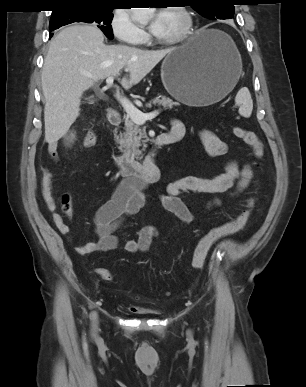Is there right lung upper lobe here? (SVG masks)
I'll return each instance as SVG.
<instances>
[{
    "label": "right lung upper lobe",
    "instance_id": "right-lung-upper-lobe-1",
    "mask_svg": "<svg viewBox=\"0 0 306 387\" xmlns=\"http://www.w3.org/2000/svg\"><path fill=\"white\" fill-rule=\"evenodd\" d=\"M115 0H56V9L52 13H57L65 8L76 6H104L112 7Z\"/></svg>",
    "mask_w": 306,
    "mask_h": 387
}]
</instances>
